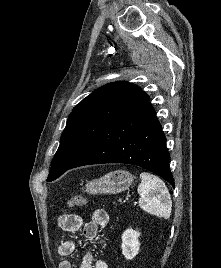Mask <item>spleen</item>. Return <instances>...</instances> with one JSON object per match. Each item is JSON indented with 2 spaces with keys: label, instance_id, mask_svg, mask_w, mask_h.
<instances>
[{
  "label": "spleen",
  "instance_id": "1",
  "mask_svg": "<svg viewBox=\"0 0 221 268\" xmlns=\"http://www.w3.org/2000/svg\"><path fill=\"white\" fill-rule=\"evenodd\" d=\"M140 178L139 206L152 215L168 219L171 215L172 201L165 183L147 172H142Z\"/></svg>",
  "mask_w": 221,
  "mask_h": 268
}]
</instances>
